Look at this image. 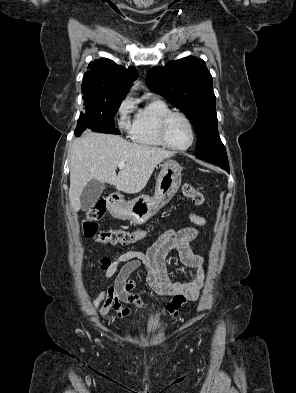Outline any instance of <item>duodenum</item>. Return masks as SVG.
Returning <instances> with one entry per match:
<instances>
[{"instance_id": "1", "label": "duodenum", "mask_w": 296, "mask_h": 393, "mask_svg": "<svg viewBox=\"0 0 296 393\" xmlns=\"http://www.w3.org/2000/svg\"><path fill=\"white\" fill-rule=\"evenodd\" d=\"M109 201H110V204H111V205H115L116 202H117L115 196H111V197L109 198Z\"/></svg>"}]
</instances>
